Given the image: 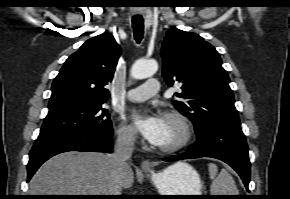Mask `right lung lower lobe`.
<instances>
[{
	"mask_svg": "<svg viewBox=\"0 0 290 199\" xmlns=\"http://www.w3.org/2000/svg\"><path fill=\"white\" fill-rule=\"evenodd\" d=\"M113 130H78L39 136L29 154L27 181L49 158L67 151L111 152Z\"/></svg>",
	"mask_w": 290,
	"mask_h": 199,
	"instance_id": "1",
	"label": "right lung lower lobe"
}]
</instances>
